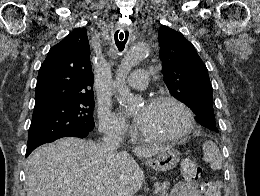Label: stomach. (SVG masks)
I'll list each match as a JSON object with an SVG mask.
<instances>
[{"label": "stomach", "mask_w": 260, "mask_h": 196, "mask_svg": "<svg viewBox=\"0 0 260 196\" xmlns=\"http://www.w3.org/2000/svg\"><path fill=\"white\" fill-rule=\"evenodd\" d=\"M178 162H180V152L172 146H163L160 154L147 160V166L157 172H168V170H173Z\"/></svg>", "instance_id": "0dacf381"}]
</instances>
